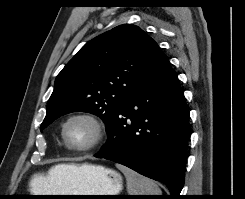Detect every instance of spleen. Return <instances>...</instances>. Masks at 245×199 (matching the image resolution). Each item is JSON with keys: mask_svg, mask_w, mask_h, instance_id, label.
Segmentation results:
<instances>
[{"mask_svg": "<svg viewBox=\"0 0 245 199\" xmlns=\"http://www.w3.org/2000/svg\"><path fill=\"white\" fill-rule=\"evenodd\" d=\"M116 167L126 177L127 192L129 195H161L160 188L153 180L146 178L123 165L116 164Z\"/></svg>", "mask_w": 245, "mask_h": 199, "instance_id": "1", "label": "spleen"}]
</instances>
